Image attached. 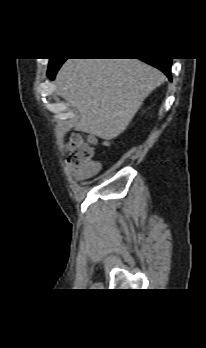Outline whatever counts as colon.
Masks as SVG:
<instances>
[{
    "label": "colon",
    "mask_w": 206,
    "mask_h": 348,
    "mask_svg": "<svg viewBox=\"0 0 206 348\" xmlns=\"http://www.w3.org/2000/svg\"><path fill=\"white\" fill-rule=\"evenodd\" d=\"M94 139H85L80 135H73L65 145L68 163L73 167H80L93 159Z\"/></svg>",
    "instance_id": "colon-1"
}]
</instances>
